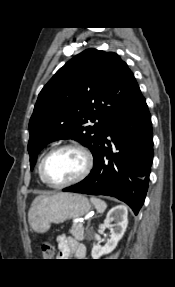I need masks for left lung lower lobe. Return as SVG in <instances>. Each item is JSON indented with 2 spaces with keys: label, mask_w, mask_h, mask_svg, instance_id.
<instances>
[{
  "label": "left lung lower lobe",
  "mask_w": 175,
  "mask_h": 287,
  "mask_svg": "<svg viewBox=\"0 0 175 287\" xmlns=\"http://www.w3.org/2000/svg\"><path fill=\"white\" fill-rule=\"evenodd\" d=\"M152 161L151 115L138 87L132 102L104 133L91 173L63 191L112 196L128 204L137 215L148 190Z\"/></svg>",
  "instance_id": "obj_1"
}]
</instances>
